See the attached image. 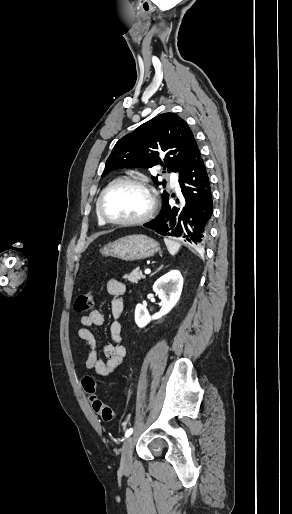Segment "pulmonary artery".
Masks as SVG:
<instances>
[{
  "label": "pulmonary artery",
  "instance_id": "e3ab8cb5",
  "mask_svg": "<svg viewBox=\"0 0 292 514\" xmlns=\"http://www.w3.org/2000/svg\"><path fill=\"white\" fill-rule=\"evenodd\" d=\"M170 180H171V184H172L174 187H176V186H177V184H178L177 176H176V175H174V174H173V175H171Z\"/></svg>",
  "mask_w": 292,
  "mask_h": 514
}]
</instances>
